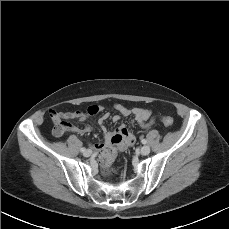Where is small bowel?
Wrapping results in <instances>:
<instances>
[{
    "label": "small bowel",
    "instance_id": "small-bowel-1",
    "mask_svg": "<svg viewBox=\"0 0 229 229\" xmlns=\"http://www.w3.org/2000/svg\"><path fill=\"white\" fill-rule=\"evenodd\" d=\"M115 109L122 116L132 115L134 117V122L137 123L142 128H148L154 123V121L151 119L150 111L147 109L138 108V107L127 108L121 104H116ZM99 110H100V108H99ZM86 111H74V112L66 113L65 116L69 117V118H73V119L85 120L88 116V115H86ZM108 117H109V115L107 113L103 114L99 118V121H98L99 124L103 125L104 122L108 119ZM119 119H120L119 115H114L112 117V120L114 122L119 121ZM70 129H71V131L79 133V134H85V133H88L91 131L90 126H86L84 128L71 126ZM102 133H103L104 139H105V141L102 145L103 148H106L109 145H111L112 138L116 134L124 135V140H123L124 145L130 146L135 142V136L125 126H120L114 133L108 131L105 127H102ZM95 146H96V148L101 147V145H95Z\"/></svg>",
    "mask_w": 229,
    "mask_h": 229
}]
</instances>
